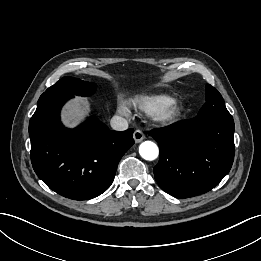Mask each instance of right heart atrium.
Returning <instances> with one entry per match:
<instances>
[{
  "label": "right heart atrium",
  "mask_w": 261,
  "mask_h": 261,
  "mask_svg": "<svg viewBox=\"0 0 261 261\" xmlns=\"http://www.w3.org/2000/svg\"><path fill=\"white\" fill-rule=\"evenodd\" d=\"M118 111L121 113V114H124V115H128L129 114V109L127 107L126 104L124 103H120L119 106H118Z\"/></svg>",
  "instance_id": "obj_1"
}]
</instances>
